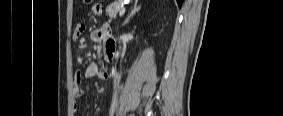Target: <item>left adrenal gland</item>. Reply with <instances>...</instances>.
Listing matches in <instances>:
<instances>
[{
	"label": "left adrenal gland",
	"instance_id": "1",
	"mask_svg": "<svg viewBox=\"0 0 283 116\" xmlns=\"http://www.w3.org/2000/svg\"><path fill=\"white\" fill-rule=\"evenodd\" d=\"M138 1H135L133 7L131 8L130 13L128 14V16L126 17V19L123 22V26H125L126 24L129 23L130 19L140 10V6L137 5Z\"/></svg>",
	"mask_w": 283,
	"mask_h": 116
}]
</instances>
